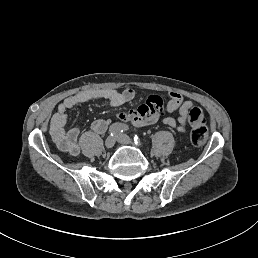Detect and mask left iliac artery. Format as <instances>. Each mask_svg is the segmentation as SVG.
Returning <instances> with one entry per match:
<instances>
[{"mask_svg":"<svg viewBox=\"0 0 258 258\" xmlns=\"http://www.w3.org/2000/svg\"><path fill=\"white\" fill-rule=\"evenodd\" d=\"M133 141H134V144H135V145L141 146V141H140V139H139V137H138L137 134H134V136H133Z\"/></svg>","mask_w":258,"mask_h":258,"instance_id":"left-iliac-artery-1","label":"left iliac artery"}]
</instances>
